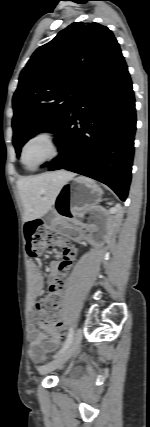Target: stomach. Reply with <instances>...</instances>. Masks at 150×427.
<instances>
[{"label":"stomach","instance_id":"stomach-1","mask_svg":"<svg viewBox=\"0 0 150 427\" xmlns=\"http://www.w3.org/2000/svg\"><path fill=\"white\" fill-rule=\"evenodd\" d=\"M100 200V190L81 177L66 182L53 204V212L61 219L75 222L86 210Z\"/></svg>","mask_w":150,"mask_h":427}]
</instances>
